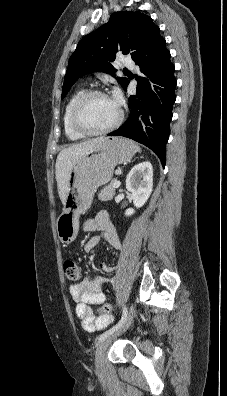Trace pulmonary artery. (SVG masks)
I'll list each match as a JSON object with an SVG mask.
<instances>
[{
  "label": "pulmonary artery",
  "mask_w": 227,
  "mask_h": 396,
  "mask_svg": "<svg viewBox=\"0 0 227 396\" xmlns=\"http://www.w3.org/2000/svg\"><path fill=\"white\" fill-rule=\"evenodd\" d=\"M123 65L126 66V67H130V68H134L135 67L134 61L132 59H130V58H125L123 60Z\"/></svg>",
  "instance_id": "obj_1"
}]
</instances>
